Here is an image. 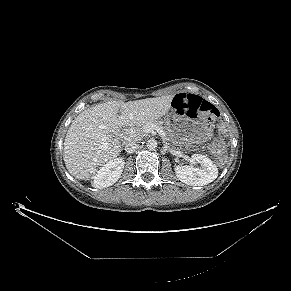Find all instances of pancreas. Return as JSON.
<instances>
[{
	"instance_id": "cf45deb5",
	"label": "pancreas",
	"mask_w": 291,
	"mask_h": 291,
	"mask_svg": "<svg viewBox=\"0 0 291 291\" xmlns=\"http://www.w3.org/2000/svg\"><path fill=\"white\" fill-rule=\"evenodd\" d=\"M149 125H156L163 129V123L160 120H149L135 124L129 131L128 137L135 140H140L146 135V127Z\"/></svg>"
}]
</instances>
